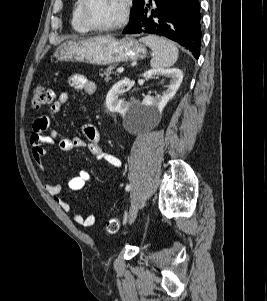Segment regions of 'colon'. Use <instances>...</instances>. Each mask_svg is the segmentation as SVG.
I'll return each instance as SVG.
<instances>
[{
    "label": "colon",
    "mask_w": 267,
    "mask_h": 301,
    "mask_svg": "<svg viewBox=\"0 0 267 301\" xmlns=\"http://www.w3.org/2000/svg\"><path fill=\"white\" fill-rule=\"evenodd\" d=\"M54 100V92L52 89L45 85L36 86L33 91L32 106L40 108L49 105ZM120 222L117 218H111L105 224L106 232L113 234L119 230Z\"/></svg>",
    "instance_id": "1"
}]
</instances>
